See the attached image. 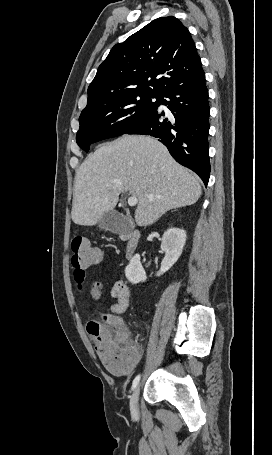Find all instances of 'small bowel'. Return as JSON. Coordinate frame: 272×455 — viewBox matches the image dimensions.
<instances>
[{"label":"small bowel","instance_id":"c3829d8e","mask_svg":"<svg viewBox=\"0 0 272 455\" xmlns=\"http://www.w3.org/2000/svg\"><path fill=\"white\" fill-rule=\"evenodd\" d=\"M111 296L114 299V303L109 307L111 315L117 316L123 314L127 310L130 300V290L127 284L123 280H118L115 282L111 289ZM120 334L127 338L126 333ZM140 357L141 349L136 347V358L128 371L132 370L135 367Z\"/></svg>","mask_w":272,"mask_h":455}]
</instances>
